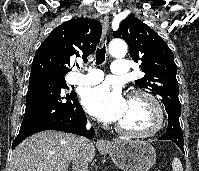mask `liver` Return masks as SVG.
I'll list each match as a JSON object with an SVG mask.
<instances>
[{
  "mask_svg": "<svg viewBox=\"0 0 199 171\" xmlns=\"http://www.w3.org/2000/svg\"><path fill=\"white\" fill-rule=\"evenodd\" d=\"M78 137L59 131H43L19 144L13 151L10 171H67L73 160ZM91 162L95 156L93 143L85 148Z\"/></svg>",
  "mask_w": 199,
  "mask_h": 171,
  "instance_id": "obj_1",
  "label": "liver"
}]
</instances>
